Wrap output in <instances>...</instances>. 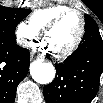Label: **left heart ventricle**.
Listing matches in <instances>:
<instances>
[{"label":"left heart ventricle","mask_w":103,"mask_h":103,"mask_svg":"<svg viewBox=\"0 0 103 103\" xmlns=\"http://www.w3.org/2000/svg\"><path fill=\"white\" fill-rule=\"evenodd\" d=\"M80 30V19L77 14H70L62 22L47 33V41L51 52H60L66 49L77 37Z\"/></svg>","instance_id":"b2bd125f"}]
</instances>
